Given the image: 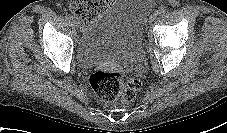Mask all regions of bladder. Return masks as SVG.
<instances>
[{
    "label": "bladder",
    "instance_id": "1",
    "mask_svg": "<svg viewBox=\"0 0 227 133\" xmlns=\"http://www.w3.org/2000/svg\"><path fill=\"white\" fill-rule=\"evenodd\" d=\"M154 0H114L82 31L76 54L80 66L118 64L140 71L145 64L143 30Z\"/></svg>",
    "mask_w": 227,
    "mask_h": 133
}]
</instances>
